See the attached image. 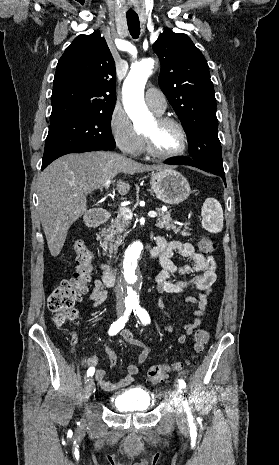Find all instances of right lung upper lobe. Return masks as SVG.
Returning <instances> with one entry per match:
<instances>
[{
	"label": "right lung upper lobe",
	"instance_id": "right-lung-upper-lobe-1",
	"mask_svg": "<svg viewBox=\"0 0 279 465\" xmlns=\"http://www.w3.org/2000/svg\"><path fill=\"white\" fill-rule=\"evenodd\" d=\"M115 63L98 32L79 35L60 58L51 96L50 123L114 108Z\"/></svg>",
	"mask_w": 279,
	"mask_h": 465
}]
</instances>
